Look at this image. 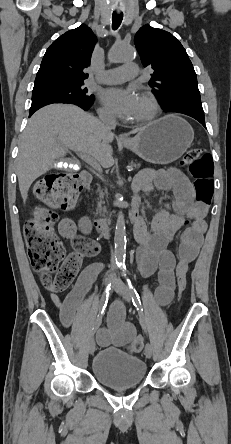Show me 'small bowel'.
Here are the masks:
<instances>
[{"mask_svg":"<svg viewBox=\"0 0 231 444\" xmlns=\"http://www.w3.org/2000/svg\"><path fill=\"white\" fill-rule=\"evenodd\" d=\"M157 187L161 190L172 191V209H160L150 228L140 216L135 228L138 242L137 261L143 276L156 274L157 287L155 299L158 304H168L174 295L175 277L185 274L189 265L198 255L202 237L206 230L205 217L208 206L194 200L192 186L187 177L176 168L166 170H146L139 174L133 183V190L149 193ZM139 196L134 203L139 204ZM188 221L190 227L184 232L179 248L178 261L168 246L175 233ZM83 230H87L81 225ZM60 235L69 241L74 252L81 256H93L99 252V245L85 237L77 236V225L70 218H64L59 224ZM99 272V266L89 265L79 275L75 286L64 300L57 295H51V301L60 311V319L65 327H71L76 312L85 295L90 290ZM101 346H124L137 339L141 340L135 327L124 321V309L117 302L108 316L107 327L101 328L96 334ZM142 341V340H141Z\"/></svg>","mask_w":231,"mask_h":444,"instance_id":"obj_1","label":"small bowel"}]
</instances>
